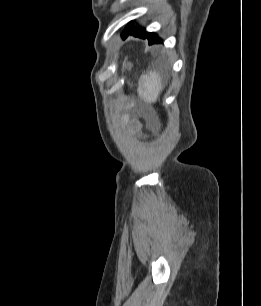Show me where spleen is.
I'll return each mask as SVG.
<instances>
[{
	"mask_svg": "<svg viewBox=\"0 0 261 306\" xmlns=\"http://www.w3.org/2000/svg\"><path fill=\"white\" fill-rule=\"evenodd\" d=\"M163 88L162 78L155 70L141 76L139 79L138 92L141 99L147 103L156 102Z\"/></svg>",
	"mask_w": 261,
	"mask_h": 306,
	"instance_id": "spleen-1",
	"label": "spleen"
}]
</instances>
